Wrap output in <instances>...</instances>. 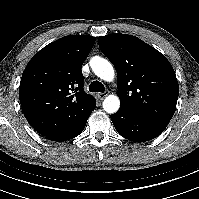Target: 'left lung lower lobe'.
<instances>
[{
  "mask_svg": "<svg viewBox=\"0 0 199 199\" xmlns=\"http://www.w3.org/2000/svg\"><path fill=\"white\" fill-rule=\"evenodd\" d=\"M115 129L124 138L134 142H145L159 136L165 125L143 118L121 106L111 115Z\"/></svg>",
  "mask_w": 199,
  "mask_h": 199,
  "instance_id": "obj_1",
  "label": "left lung lower lobe"
}]
</instances>
